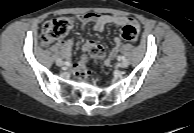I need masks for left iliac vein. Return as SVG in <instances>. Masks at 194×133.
Instances as JSON below:
<instances>
[{
	"label": "left iliac vein",
	"instance_id": "left-iliac-vein-1",
	"mask_svg": "<svg viewBox=\"0 0 194 133\" xmlns=\"http://www.w3.org/2000/svg\"><path fill=\"white\" fill-rule=\"evenodd\" d=\"M128 65H129V61L128 60H122L121 62H120V64H119V66L121 67V68H126V67H128Z\"/></svg>",
	"mask_w": 194,
	"mask_h": 133
}]
</instances>
